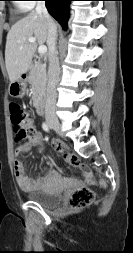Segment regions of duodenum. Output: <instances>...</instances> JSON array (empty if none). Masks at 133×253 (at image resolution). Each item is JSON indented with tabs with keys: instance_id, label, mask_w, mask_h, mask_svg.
<instances>
[{
	"instance_id": "duodenum-1",
	"label": "duodenum",
	"mask_w": 133,
	"mask_h": 253,
	"mask_svg": "<svg viewBox=\"0 0 133 253\" xmlns=\"http://www.w3.org/2000/svg\"><path fill=\"white\" fill-rule=\"evenodd\" d=\"M20 78H23L24 80L26 78H29V73H20ZM35 92L37 93L36 94V97L39 98L36 100V110H37V113L42 115L45 111V103L42 99L43 97V86L42 85H39L38 88L35 89Z\"/></svg>"
}]
</instances>
